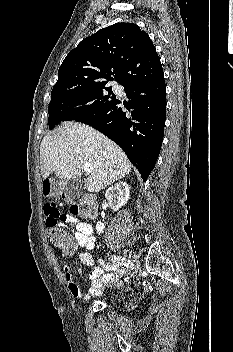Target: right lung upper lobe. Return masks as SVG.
Here are the masks:
<instances>
[{"label":"right lung upper lobe","instance_id":"cb5924a9","mask_svg":"<svg viewBox=\"0 0 233 352\" xmlns=\"http://www.w3.org/2000/svg\"><path fill=\"white\" fill-rule=\"evenodd\" d=\"M163 72L147 33L133 23H116L83 39L71 50L58 71L53 90L105 85L122 86Z\"/></svg>","mask_w":233,"mask_h":352}]
</instances>
